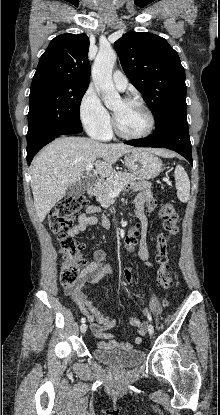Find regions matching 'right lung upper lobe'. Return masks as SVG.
<instances>
[{"label":"right lung upper lobe","instance_id":"right-lung-upper-lobe-1","mask_svg":"<svg viewBox=\"0 0 220 415\" xmlns=\"http://www.w3.org/2000/svg\"><path fill=\"white\" fill-rule=\"evenodd\" d=\"M89 38L82 34H62L51 40L42 54L32 82L41 80L63 81L89 85Z\"/></svg>","mask_w":220,"mask_h":415}]
</instances>
